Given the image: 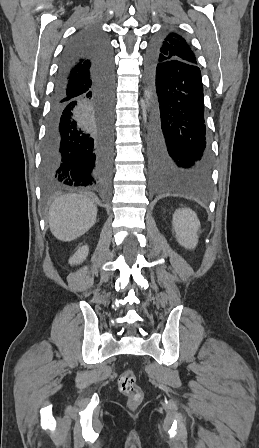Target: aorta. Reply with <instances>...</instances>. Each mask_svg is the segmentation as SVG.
<instances>
[{
    "instance_id": "762f6f07",
    "label": "aorta",
    "mask_w": 259,
    "mask_h": 448,
    "mask_svg": "<svg viewBox=\"0 0 259 448\" xmlns=\"http://www.w3.org/2000/svg\"><path fill=\"white\" fill-rule=\"evenodd\" d=\"M152 101V91L149 88H146L144 91V100H142L143 109L148 110L151 107Z\"/></svg>"
}]
</instances>
